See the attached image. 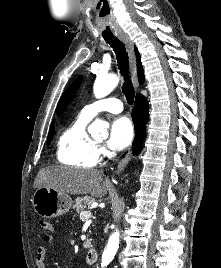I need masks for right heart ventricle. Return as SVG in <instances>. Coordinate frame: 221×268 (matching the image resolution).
<instances>
[{"mask_svg": "<svg viewBox=\"0 0 221 268\" xmlns=\"http://www.w3.org/2000/svg\"><path fill=\"white\" fill-rule=\"evenodd\" d=\"M90 118L80 113L62 132L57 143L59 163L77 168H92L99 159L98 146L87 133Z\"/></svg>", "mask_w": 221, "mask_h": 268, "instance_id": "e07e8e85", "label": "right heart ventricle"}]
</instances>
